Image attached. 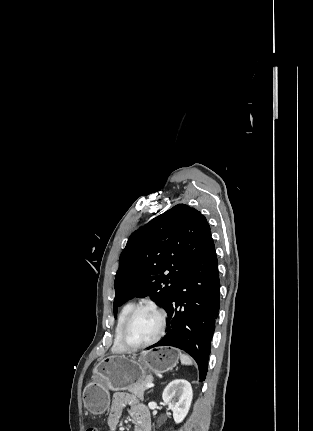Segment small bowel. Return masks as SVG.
<instances>
[{"label": "small bowel", "instance_id": "c3829d8e", "mask_svg": "<svg viewBox=\"0 0 313 431\" xmlns=\"http://www.w3.org/2000/svg\"><path fill=\"white\" fill-rule=\"evenodd\" d=\"M126 405H130L132 414L136 420L134 431H150L151 421L147 410L133 397L125 393H116L113 396L108 424L112 430L117 427L122 411Z\"/></svg>", "mask_w": 313, "mask_h": 431}]
</instances>
